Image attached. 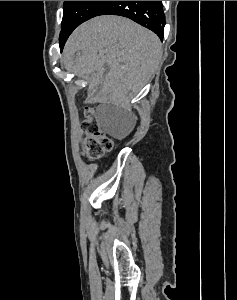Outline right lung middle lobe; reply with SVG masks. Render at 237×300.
<instances>
[{
    "instance_id": "obj_1",
    "label": "right lung middle lobe",
    "mask_w": 237,
    "mask_h": 300,
    "mask_svg": "<svg viewBox=\"0 0 237 300\" xmlns=\"http://www.w3.org/2000/svg\"><path fill=\"white\" fill-rule=\"evenodd\" d=\"M109 2L110 1H64V13L61 23L62 30L59 38L61 49L69 35L78 25L97 16Z\"/></svg>"
}]
</instances>
